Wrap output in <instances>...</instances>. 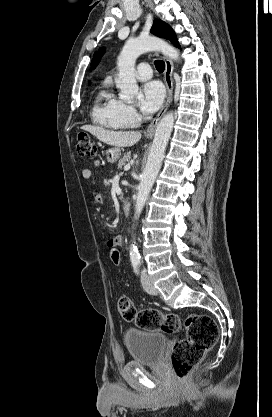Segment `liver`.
Masks as SVG:
<instances>
[{
    "label": "liver",
    "instance_id": "liver-1",
    "mask_svg": "<svg viewBox=\"0 0 272 417\" xmlns=\"http://www.w3.org/2000/svg\"><path fill=\"white\" fill-rule=\"evenodd\" d=\"M81 129L88 131L100 141L117 147H131L141 139V133L138 131H110L93 125H83Z\"/></svg>",
    "mask_w": 272,
    "mask_h": 417
}]
</instances>
